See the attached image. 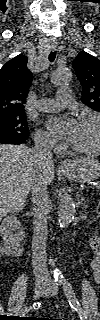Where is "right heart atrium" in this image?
Masks as SVG:
<instances>
[{
    "mask_svg": "<svg viewBox=\"0 0 100 320\" xmlns=\"http://www.w3.org/2000/svg\"><path fill=\"white\" fill-rule=\"evenodd\" d=\"M35 142L40 146L58 147L54 138L47 132L38 130L34 135Z\"/></svg>",
    "mask_w": 100,
    "mask_h": 320,
    "instance_id": "obj_1",
    "label": "right heart atrium"
}]
</instances>
